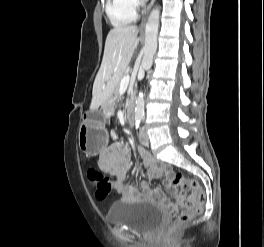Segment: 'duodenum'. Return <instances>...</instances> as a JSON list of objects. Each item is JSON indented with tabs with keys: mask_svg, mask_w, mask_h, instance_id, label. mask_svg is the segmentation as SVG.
Segmentation results:
<instances>
[{
	"mask_svg": "<svg viewBox=\"0 0 264 247\" xmlns=\"http://www.w3.org/2000/svg\"><path fill=\"white\" fill-rule=\"evenodd\" d=\"M127 122L129 125H132L134 122V113L132 109H129L127 112Z\"/></svg>",
	"mask_w": 264,
	"mask_h": 247,
	"instance_id": "410a0bca",
	"label": "duodenum"
}]
</instances>
